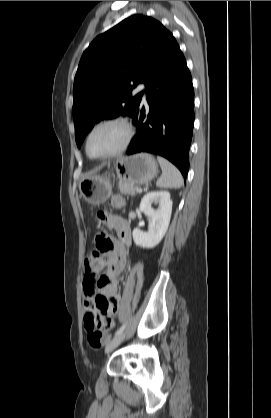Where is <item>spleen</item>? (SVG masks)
Here are the masks:
<instances>
[{
    "label": "spleen",
    "mask_w": 271,
    "mask_h": 418,
    "mask_svg": "<svg viewBox=\"0 0 271 418\" xmlns=\"http://www.w3.org/2000/svg\"><path fill=\"white\" fill-rule=\"evenodd\" d=\"M157 160L162 169V175L157 180L156 186L166 189H177L183 185V178L180 171L168 160L158 156Z\"/></svg>",
    "instance_id": "3e777b00"
}]
</instances>
